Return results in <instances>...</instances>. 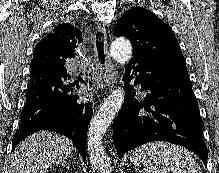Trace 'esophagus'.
<instances>
[{
  "instance_id": "1",
  "label": "esophagus",
  "mask_w": 219,
  "mask_h": 173,
  "mask_svg": "<svg viewBox=\"0 0 219 173\" xmlns=\"http://www.w3.org/2000/svg\"><path fill=\"white\" fill-rule=\"evenodd\" d=\"M95 60L99 68V84L101 87L110 86L115 78V69L108 52L107 33L104 25H98L92 35Z\"/></svg>"
}]
</instances>
